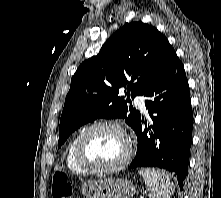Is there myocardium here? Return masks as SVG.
I'll return each instance as SVG.
<instances>
[{
  "mask_svg": "<svg viewBox=\"0 0 221 198\" xmlns=\"http://www.w3.org/2000/svg\"><path fill=\"white\" fill-rule=\"evenodd\" d=\"M101 128L114 129L118 131L126 141V151L122 159L116 164L107 167H97L95 165H92L85 159L83 155L84 140L92 131ZM132 154H133V142L130 135L120 124L110 121H100L89 125L79 133L74 145V156L77 164L86 172L92 174H109L117 172L128 164V162L132 157Z\"/></svg>",
  "mask_w": 221,
  "mask_h": 198,
  "instance_id": "myocardium-1",
  "label": "myocardium"
}]
</instances>
